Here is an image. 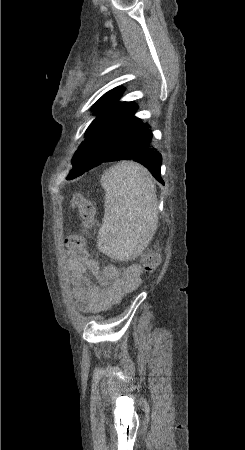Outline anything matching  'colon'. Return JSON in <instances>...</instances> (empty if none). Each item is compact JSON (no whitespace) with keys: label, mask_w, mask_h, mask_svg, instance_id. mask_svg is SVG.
<instances>
[{"label":"colon","mask_w":245,"mask_h":450,"mask_svg":"<svg viewBox=\"0 0 245 450\" xmlns=\"http://www.w3.org/2000/svg\"><path fill=\"white\" fill-rule=\"evenodd\" d=\"M72 207L78 212L82 221V231L70 235L65 244L68 250H71L75 258L78 260H86L88 252L86 249V237L89 236L90 230L94 227L96 221V205L87 197L80 193L73 195L71 200ZM160 262V257L156 249L145 251L138 258L139 266L147 271H154Z\"/></svg>","instance_id":"5ec220e1"}]
</instances>
